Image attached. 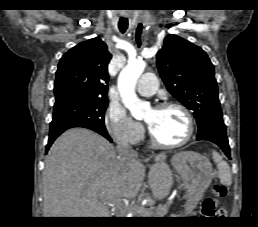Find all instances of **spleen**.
<instances>
[{
  "label": "spleen",
  "instance_id": "3e777b00",
  "mask_svg": "<svg viewBox=\"0 0 258 227\" xmlns=\"http://www.w3.org/2000/svg\"><path fill=\"white\" fill-rule=\"evenodd\" d=\"M212 158L217 165L220 182L225 186H230L232 184V175L229 164L214 150L212 151Z\"/></svg>",
  "mask_w": 258,
  "mask_h": 227
}]
</instances>
